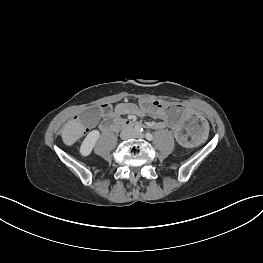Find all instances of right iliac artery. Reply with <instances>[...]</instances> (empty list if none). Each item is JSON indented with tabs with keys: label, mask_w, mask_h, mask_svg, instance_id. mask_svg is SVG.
I'll return each mask as SVG.
<instances>
[{
	"label": "right iliac artery",
	"mask_w": 263,
	"mask_h": 263,
	"mask_svg": "<svg viewBox=\"0 0 263 263\" xmlns=\"http://www.w3.org/2000/svg\"><path fill=\"white\" fill-rule=\"evenodd\" d=\"M136 131H137V132H142V131H143L142 126H137V127H136Z\"/></svg>",
	"instance_id": "right-iliac-artery-1"
}]
</instances>
